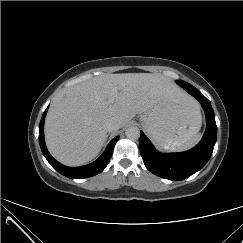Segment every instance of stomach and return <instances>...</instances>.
<instances>
[{
    "mask_svg": "<svg viewBox=\"0 0 243 243\" xmlns=\"http://www.w3.org/2000/svg\"><path fill=\"white\" fill-rule=\"evenodd\" d=\"M140 122L159 147L172 149L175 143H184L199 131L201 115L192 99L183 103L162 100L146 111Z\"/></svg>",
    "mask_w": 243,
    "mask_h": 243,
    "instance_id": "obj_1",
    "label": "stomach"
}]
</instances>
